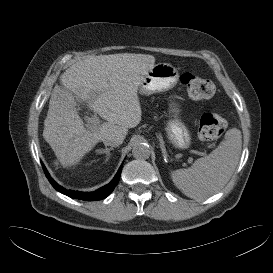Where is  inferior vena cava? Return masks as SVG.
Wrapping results in <instances>:
<instances>
[{
  "label": "inferior vena cava",
  "instance_id": "inferior-vena-cava-1",
  "mask_svg": "<svg viewBox=\"0 0 273 273\" xmlns=\"http://www.w3.org/2000/svg\"><path fill=\"white\" fill-rule=\"evenodd\" d=\"M103 143L105 146H112V147H116L119 146L122 142L114 137H108L103 139Z\"/></svg>",
  "mask_w": 273,
  "mask_h": 273
}]
</instances>
